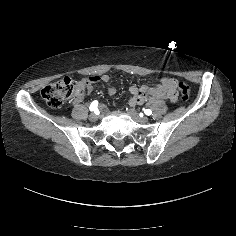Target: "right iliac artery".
<instances>
[{
    "mask_svg": "<svg viewBox=\"0 0 236 236\" xmlns=\"http://www.w3.org/2000/svg\"><path fill=\"white\" fill-rule=\"evenodd\" d=\"M98 101L97 100H95V101H93L92 103H91V105H90V107H89V109H90V111H96L98 108Z\"/></svg>",
    "mask_w": 236,
    "mask_h": 236,
    "instance_id": "right-iliac-artery-1",
    "label": "right iliac artery"
}]
</instances>
